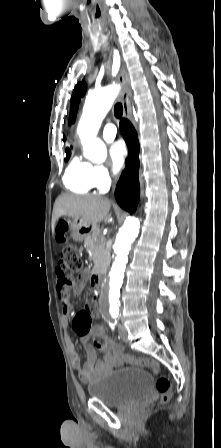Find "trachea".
<instances>
[{
    "label": "trachea",
    "mask_w": 221,
    "mask_h": 448,
    "mask_svg": "<svg viewBox=\"0 0 221 448\" xmlns=\"http://www.w3.org/2000/svg\"><path fill=\"white\" fill-rule=\"evenodd\" d=\"M123 114V106L121 103H117L114 106V115L116 118H121Z\"/></svg>",
    "instance_id": "obj_1"
}]
</instances>
